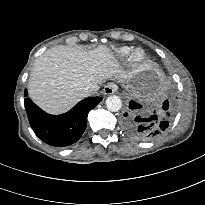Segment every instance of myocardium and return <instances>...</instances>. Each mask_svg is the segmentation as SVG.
<instances>
[{"label": "myocardium", "mask_w": 205, "mask_h": 205, "mask_svg": "<svg viewBox=\"0 0 205 205\" xmlns=\"http://www.w3.org/2000/svg\"><path fill=\"white\" fill-rule=\"evenodd\" d=\"M146 59V53L142 48H135L130 52L129 62L132 66H140Z\"/></svg>", "instance_id": "obj_1"}]
</instances>
